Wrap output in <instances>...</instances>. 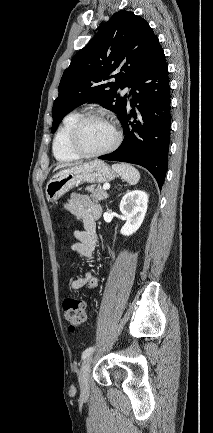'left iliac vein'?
Returning <instances> with one entry per match:
<instances>
[{"label": "left iliac vein", "instance_id": "4c4485c4", "mask_svg": "<svg viewBox=\"0 0 213 433\" xmlns=\"http://www.w3.org/2000/svg\"><path fill=\"white\" fill-rule=\"evenodd\" d=\"M92 363V356H88L84 359L82 366L78 374L79 385L81 389V394L86 396L89 392V373Z\"/></svg>", "mask_w": 213, "mask_h": 433}]
</instances>
